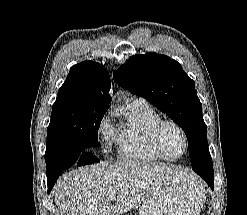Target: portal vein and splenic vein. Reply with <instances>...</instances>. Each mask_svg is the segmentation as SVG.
I'll return each mask as SVG.
<instances>
[{
  "label": "portal vein and splenic vein",
  "instance_id": "1",
  "mask_svg": "<svg viewBox=\"0 0 247 215\" xmlns=\"http://www.w3.org/2000/svg\"><path fill=\"white\" fill-rule=\"evenodd\" d=\"M109 199H110V200H114V199H115V195H114V194H110V195H109Z\"/></svg>",
  "mask_w": 247,
  "mask_h": 215
}]
</instances>
